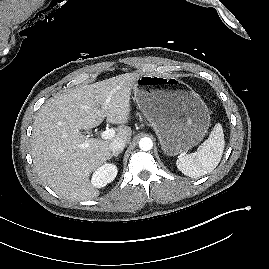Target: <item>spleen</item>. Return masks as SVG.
Returning <instances> with one entry per match:
<instances>
[{"mask_svg": "<svg viewBox=\"0 0 269 269\" xmlns=\"http://www.w3.org/2000/svg\"><path fill=\"white\" fill-rule=\"evenodd\" d=\"M224 146L223 128L220 123H217L208 139L198 147L196 152L178 157L177 168L191 178H198L210 173L218 166Z\"/></svg>", "mask_w": 269, "mask_h": 269, "instance_id": "1", "label": "spleen"}]
</instances>
